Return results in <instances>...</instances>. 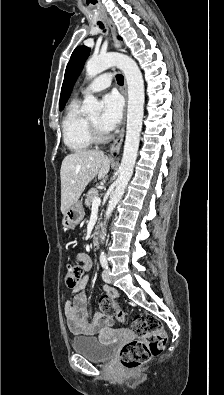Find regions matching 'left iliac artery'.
I'll return each mask as SVG.
<instances>
[{
	"label": "left iliac artery",
	"instance_id": "44dca946",
	"mask_svg": "<svg viewBox=\"0 0 224 395\" xmlns=\"http://www.w3.org/2000/svg\"><path fill=\"white\" fill-rule=\"evenodd\" d=\"M100 263L103 268L106 269L108 268V262H107L106 254L104 252H101L100 254Z\"/></svg>",
	"mask_w": 224,
	"mask_h": 395
}]
</instances>
